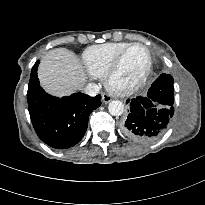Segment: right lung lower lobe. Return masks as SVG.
Here are the masks:
<instances>
[{"label": "right lung lower lobe", "instance_id": "1", "mask_svg": "<svg viewBox=\"0 0 205 205\" xmlns=\"http://www.w3.org/2000/svg\"><path fill=\"white\" fill-rule=\"evenodd\" d=\"M38 64L39 61L31 70L27 92L33 127L47 145L56 149L72 147L84 136L89 115L101 105V95L75 93L61 99L53 97L39 86Z\"/></svg>", "mask_w": 205, "mask_h": 205}]
</instances>
